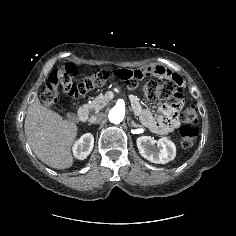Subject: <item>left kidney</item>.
<instances>
[{"instance_id":"obj_1","label":"left kidney","mask_w":236,"mask_h":236,"mask_svg":"<svg viewBox=\"0 0 236 236\" xmlns=\"http://www.w3.org/2000/svg\"><path fill=\"white\" fill-rule=\"evenodd\" d=\"M136 142L141 156L152 163L165 164L176 156L174 143L166 137L154 140L150 136H141L137 138ZM155 144L158 149L155 148Z\"/></svg>"}]
</instances>
